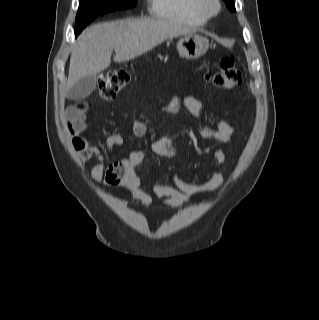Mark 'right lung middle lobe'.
<instances>
[{"label": "right lung middle lobe", "mask_w": 319, "mask_h": 320, "mask_svg": "<svg viewBox=\"0 0 319 320\" xmlns=\"http://www.w3.org/2000/svg\"><path fill=\"white\" fill-rule=\"evenodd\" d=\"M136 4L137 0H81L74 31L79 34L97 16L114 10L133 8Z\"/></svg>", "instance_id": "right-lung-middle-lobe-1"}]
</instances>
